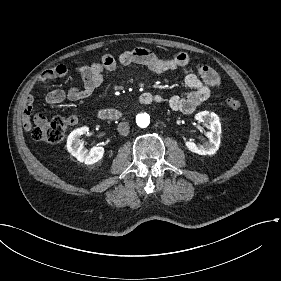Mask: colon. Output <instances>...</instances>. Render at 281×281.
<instances>
[{
    "label": "colon",
    "mask_w": 281,
    "mask_h": 281,
    "mask_svg": "<svg viewBox=\"0 0 281 281\" xmlns=\"http://www.w3.org/2000/svg\"><path fill=\"white\" fill-rule=\"evenodd\" d=\"M225 103L231 109H237L241 105L240 101L233 97L226 98ZM68 122L67 117H54L49 121L33 126L27 125V129L37 141L54 144L64 138L68 128Z\"/></svg>",
    "instance_id": "1"
}]
</instances>
